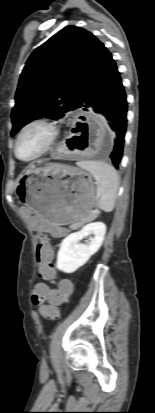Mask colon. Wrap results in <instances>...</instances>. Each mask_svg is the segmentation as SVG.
I'll list each match as a JSON object with an SVG mask.
<instances>
[{"label": "colon", "mask_w": 155, "mask_h": 413, "mask_svg": "<svg viewBox=\"0 0 155 413\" xmlns=\"http://www.w3.org/2000/svg\"><path fill=\"white\" fill-rule=\"evenodd\" d=\"M36 261L39 266V276L42 279L46 280L56 275L52 264V251L46 241L38 245ZM56 286L58 290L50 292L43 299L36 294L32 295L33 303L39 305L40 312L45 318L57 319L60 316L59 306L69 298L74 285L70 278H57Z\"/></svg>", "instance_id": "5ec220e1"}]
</instances>
